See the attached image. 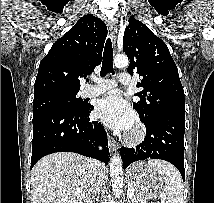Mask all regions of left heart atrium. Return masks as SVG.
<instances>
[{"instance_id": "1", "label": "left heart atrium", "mask_w": 214, "mask_h": 203, "mask_svg": "<svg viewBox=\"0 0 214 203\" xmlns=\"http://www.w3.org/2000/svg\"><path fill=\"white\" fill-rule=\"evenodd\" d=\"M96 114L106 125L118 130H129L136 121L135 114L119 91H113L100 100Z\"/></svg>"}]
</instances>
